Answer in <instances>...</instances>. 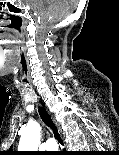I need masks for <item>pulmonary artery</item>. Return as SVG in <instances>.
Segmentation results:
<instances>
[{"label": "pulmonary artery", "instance_id": "1", "mask_svg": "<svg viewBox=\"0 0 119 155\" xmlns=\"http://www.w3.org/2000/svg\"><path fill=\"white\" fill-rule=\"evenodd\" d=\"M45 147L47 150L53 151L57 149L56 141L53 138L47 139L45 142Z\"/></svg>", "mask_w": 119, "mask_h": 155}]
</instances>
